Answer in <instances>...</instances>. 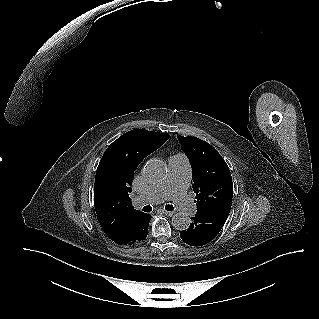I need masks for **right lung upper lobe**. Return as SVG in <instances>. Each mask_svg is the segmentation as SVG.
I'll return each mask as SVG.
<instances>
[{
	"mask_svg": "<svg viewBox=\"0 0 319 319\" xmlns=\"http://www.w3.org/2000/svg\"><path fill=\"white\" fill-rule=\"evenodd\" d=\"M169 138L167 133L131 130L115 140L103 154L97 174H105L107 188L94 191V206L104 232L121 243L131 225L144 213L131 204L129 192L134 170Z\"/></svg>",
	"mask_w": 319,
	"mask_h": 319,
	"instance_id": "obj_1",
	"label": "right lung upper lobe"
}]
</instances>
